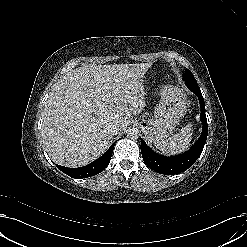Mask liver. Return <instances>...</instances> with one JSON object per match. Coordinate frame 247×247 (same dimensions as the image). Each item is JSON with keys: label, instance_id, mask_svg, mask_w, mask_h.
Returning <instances> with one entry per match:
<instances>
[{"label": "liver", "instance_id": "obj_1", "mask_svg": "<svg viewBox=\"0 0 247 247\" xmlns=\"http://www.w3.org/2000/svg\"><path fill=\"white\" fill-rule=\"evenodd\" d=\"M151 63L90 65L70 71L50 92L43 110L42 138L49 157L66 167L99 158L110 139L145 106L143 78Z\"/></svg>", "mask_w": 247, "mask_h": 247}]
</instances>
